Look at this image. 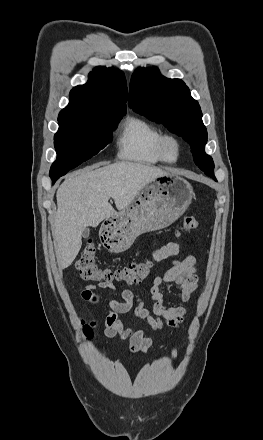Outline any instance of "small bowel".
Here are the masks:
<instances>
[{
	"mask_svg": "<svg viewBox=\"0 0 263 440\" xmlns=\"http://www.w3.org/2000/svg\"><path fill=\"white\" fill-rule=\"evenodd\" d=\"M181 244L169 242L160 248L153 249L152 258L157 261L170 260L171 267L164 274L155 273L149 293L152 298V308L145 306L143 300L136 296L130 289L121 292L122 300L112 296L106 298L107 314L104 319V335L108 338L128 340L129 350L132 353H145L152 346V338L146 337L140 329L125 327L119 315L133 310L139 320H144L155 332L161 330L164 325L178 327L184 320L187 309L183 306H169L166 304L161 286L173 283L178 289V300L187 302L198 288L199 276L196 267V258L192 255L183 259H176ZM114 289L113 285L99 282L87 284L80 293L81 299L95 305L99 301L97 291L100 289Z\"/></svg>",
	"mask_w": 263,
	"mask_h": 440,
	"instance_id": "1",
	"label": "small bowel"
}]
</instances>
